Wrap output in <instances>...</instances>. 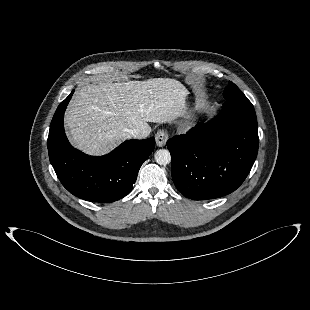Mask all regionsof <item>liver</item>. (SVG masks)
<instances>
[{"mask_svg": "<svg viewBox=\"0 0 310 310\" xmlns=\"http://www.w3.org/2000/svg\"><path fill=\"white\" fill-rule=\"evenodd\" d=\"M187 95L181 82L169 78L86 84L75 93L65 114L70 141L87 154H105L129 139L128 129L149 135V122L184 116Z\"/></svg>", "mask_w": 310, "mask_h": 310, "instance_id": "liver-1", "label": "liver"}]
</instances>
